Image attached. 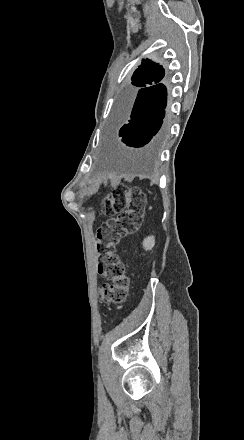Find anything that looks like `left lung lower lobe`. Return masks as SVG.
Masks as SVG:
<instances>
[{"mask_svg":"<svg viewBox=\"0 0 244 440\" xmlns=\"http://www.w3.org/2000/svg\"><path fill=\"white\" fill-rule=\"evenodd\" d=\"M161 81L141 87L138 92L127 96L119 112L120 141L127 146L143 147L157 140L165 115L166 87Z\"/></svg>","mask_w":244,"mask_h":440,"instance_id":"obj_1","label":"left lung lower lobe"}]
</instances>
